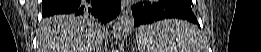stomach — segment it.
I'll use <instances>...</instances> for the list:
<instances>
[{
	"label": "stomach",
	"mask_w": 261,
	"mask_h": 52,
	"mask_svg": "<svg viewBox=\"0 0 261 52\" xmlns=\"http://www.w3.org/2000/svg\"><path fill=\"white\" fill-rule=\"evenodd\" d=\"M136 41H137V43L140 41V29H139L138 33L136 34Z\"/></svg>",
	"instance_id": "stomach-1"
}]
</instances>
